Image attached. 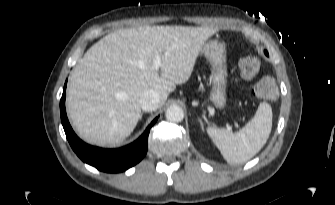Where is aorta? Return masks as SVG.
I'll return each instance as SVG.
<instances>
[{"instance_id": "762f6f07", "label": "aorta", "mask_w": 335, "mask_h": 205, "mask_svg": "<svg viewBox=\"0 0 335 205\" xmlns=\"http://www.w3.org/2000/svg\"><path fill=\"white\" fill-rule=\"evenodd\" d=\"M166 119L170 122H181L184 118V111L178 105H171L166 110Z\"/></svg>"}]
</instances>
